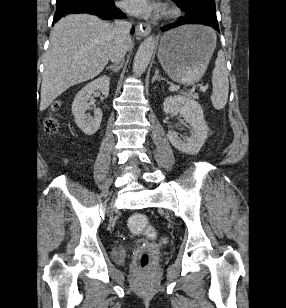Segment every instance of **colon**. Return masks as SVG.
<instances>
[{"label": "colon", "instance_id": "5ec220e1", "mask_svg": "<svg viewBox=\"0 0 286 308\" xmlns=\"http://www.w3.org/2000/svg\"><path fill=\"white\" fill-rule=\"evenodd\" d=\"M60 107L59 102H54L52 105L53 110H57ZM58 121L54 117H48L44 121V130L47 134H54L58 130ZM130 229L138 233H144L149 237H154L156 235L155 231L150 227L149 221L146 216L142 214H134L130 217L128 221ZM150 258L149 255L144 253L140 257V267L142 269L147 268L149 265Z\"/></svg>", "mask_w": 286, "mask_h": 308}]
</instances>
